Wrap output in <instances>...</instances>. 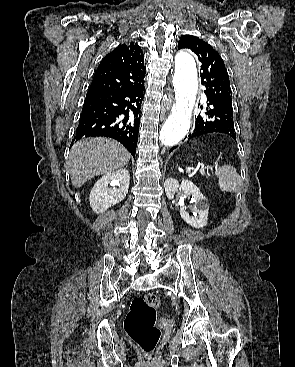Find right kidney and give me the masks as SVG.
<instances>
[{
    "instance_id": "1",
    "label": "right kidney",
    "mask_w": 295,
    "mask_h": 367,
    "mask_svg": "<svg viewBox=\"0 0 295 367\" xmlns=\"http://www.w3.org/2000/svg\"><path fill=\"white\" fill-rule=\"evenodd\" d=\"M129 180L130 175L126 169L105 174L91 190L89 200L92 210L97 214L103 213L110 206L121 202L128 193Z\"/></svg>"
}]
</instances>
